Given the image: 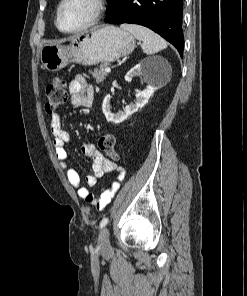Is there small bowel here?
<instances>
[{"label":"small bowel","mask_w":247,"mask_h":296,"mask_svg":"<svg viewBox=\"0 0 247 296\" xmlns=\"http://www.w3.org/2000/svg\"><path fill=\"white\" fill-rule=\"evenodd\" d=\"M70 103L74 107L89 108L94 101L95 91L87 80L78 75L68 84ZM50 129L54 136L53 150L59 166L65 171L66 178L71 186L77 189V194L87 203L93 205L98 211H102L113 199L120 187L123 171L114 162L103 156L93 143L82 145V153L92 162L93 173L86 177L88 187H95L99 178L110 173H118V178L111 182L109 188H102L96 195L88 188L82 187L78 172L69 167L66 144L70 141V134L66 131L61 122L60 115L55 113L51 118Z\"/></svg>","instance_id":"obj_1"}]
</instances>
